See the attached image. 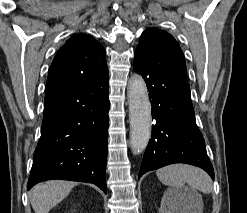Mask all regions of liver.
<instances>
[{"label": "liver", "mask_w": 247, "mask_h": 213, "mask_svg": "<svg viewBox=\"0 0 247 213\" xmlns=\"http://www.w3.org/2000/svg\"><path fill=\"white\" fill-rule=\"evenodd\" d=\"M75 182L51 180L36 185L30 192V202L35 213H48L60 203L76 185Z\"/></svg>", "instance_id": "liver-1"}]
</instances>
